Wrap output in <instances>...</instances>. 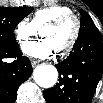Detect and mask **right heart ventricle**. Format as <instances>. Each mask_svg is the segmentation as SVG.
Returning <instances> with one entry per match:
<instances>
[{"label": "right heart ventricle", "instance_id": "e07e8e85", "mask_svg": "<svg viewBox=\"0 0 103 103\" xmlns=\"http://www.w3.org/2000/svg\"><path fill=\"white\" fill-rule=\"evenodd\" d=\"M72 11L69 7L63 5H52L46 8L37 10L33 16L31 22L36 29H40L45 26L47 23L55 20L56 18L71 14Z\"/></svg>", "mask_w": 103, "mask_h": 103}]
</instances>
